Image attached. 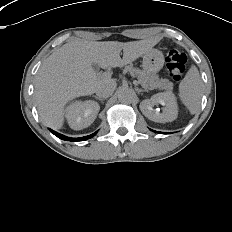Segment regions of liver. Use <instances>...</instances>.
<instances>
[{"mask_svg": "<svg viewBox=\"0 0 232 232\" xmlns=\"http://www.w3.org/2000/svg\"><path fill=\"white\" fill-rule=\"evenodd\" d=\"M158 43L156 39L133 42L86 41L74 39L53 52L42 64L35 81V99L42 123L60 129L64 123V106L79 96L96 92L104 81L92 64L101 68L126 65ZM123 50V58L120 52Z\"/></svg>", "mask_w": 232, "mask_h": 232, "instance_id": "6515ba94", "label": "liver"}]
</instances>
